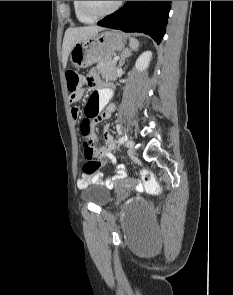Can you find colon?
Instances as JSON below:
<instances>
[{"label":"colon","mask_w":233,"mask_h":295,"mask_svg":"<svg viewBox=\"0 0 233 295\" xmlns=\"http://www.w3.org/2000/svg\"><path fill=\"white\" fill-rule=\"evenodd\" d=\"M67 87L70 92V97L75 98L79 94L84 92V77L75 71H68L66 73ZM81 134L84 141V157L85 164L83 171L85 175H91L98 171V169L106 161H101V149L98 146V140L91 130V122L85 119L81 125ZM141 177L145 186V189L152 194H158L160 192V185L152 171L148 169H142Z\"/></svg>","instance_id":"1"}]
</instances>
